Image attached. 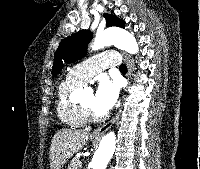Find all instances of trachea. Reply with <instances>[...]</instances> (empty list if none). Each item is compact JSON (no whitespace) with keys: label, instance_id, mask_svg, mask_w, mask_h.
I'll use <instances>...</instances> for the list:
<instances>
[{"label":"trachea","instance_id":"3493384b","mask_svg":"<svg viewBox=\"0 0 200 169\" xmlns=\"http://www.w3.org/2000/svg\"><path fill=\"white\" fill-rule=\"evenodd\" d=\"M119 70L127 72V67L125 64H121Z\"/></svg>","mask_w":200,"mask_h":169}]
</instances>
